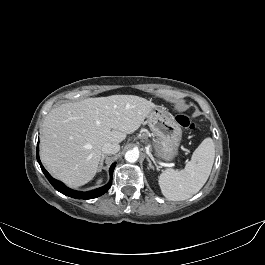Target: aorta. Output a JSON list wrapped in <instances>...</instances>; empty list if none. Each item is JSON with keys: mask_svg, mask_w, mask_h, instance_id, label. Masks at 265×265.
<instances>
[{"mask_svg": "<svg viewBox=\"0 0 265 265\" xmlns=\"http://www.w3.org/2000/svg\"><path fill=\"white\" fill-rule=\"evenodd\" d=\"M139 158V151L138 150H129L126 152L125 154V159L126 161L130 162V163H134L138 160Z\"/></svg>", "mask_w": 265, "mask_h": 265, "instance_id": "1", "label": "aorta"}]
</instances>
